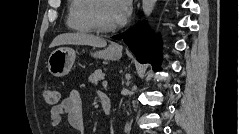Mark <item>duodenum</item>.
I'll return each mask as SVG.
<instances>
[{
  "mask_svg": "<svg viewBox=\"0 0 239 134\" xmlns=\"http://www.w3.org/2000/svg\"><path fill=\"white\" fill-rule=\"evenodd\" d=\"M100 101L102 105V109L106 115H110L112 112V101L110 97L106 94H102L100 96Z\"/></svg>",
  "mask_w": 239,
  "mask_h": 134,
  "instance_id": "410a0bca",
  "label": "duodenum"
}]
</instances>
